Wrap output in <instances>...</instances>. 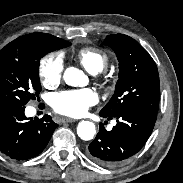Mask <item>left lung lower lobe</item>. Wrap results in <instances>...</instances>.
Listing matches in <instances>:
<instances>
[{
    "label": "left lung lower lobe",
    "instance_id": "1",
    "mask_svg": "<svg viewBox=\"0 0 183 183\" xmlns=\"http://www.w3.org/2000/svg\"><path fill=\"white\" fill-rule=\"evenodd\" d=\"M100 116L117 120L111 131L100 123L99 132L88 147L89 158L102 166L120 164L139 152L156 122V114L142 110H126L112 117L100 113Z\"/></svg>",
    "mask_w": 183,
    "mask_h": 183
}]
</instances>
